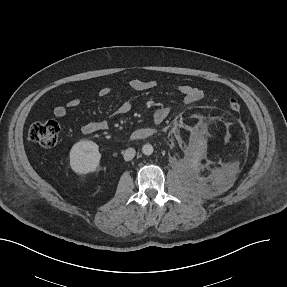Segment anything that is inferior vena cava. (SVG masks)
Instances as JSON below:
<instances>
[{
  "instance_id": "obj_1",
  "label": "inferior vena cava",
  "mask_w": 287,
  "mask_h": 287,
  "mask_svg": "<svg viewBox=\"0 0 287 287\" xmlns=\"http://www.w3.org/2000/svg\"><path fill=\"white\" fill-rule=\"evenodd\" d=\"M136 151L134 148H128L123 152V157L125 161H130L134 158Z\"/></svg>"
}]
</instances>
